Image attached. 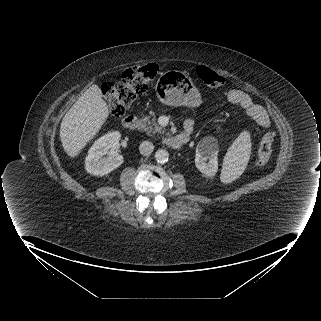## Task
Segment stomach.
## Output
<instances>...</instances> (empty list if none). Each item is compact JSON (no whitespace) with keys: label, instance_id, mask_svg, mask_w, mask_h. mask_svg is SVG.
Instances as JSON below:
<instances>
[{"label":"stomach","instance_id":"0dacf381","mask_svg":"<svg viewBox=\"0 0 321 321\" xmlns=\"http://www.w3.org/2000/svg\"><path fill=\"white\" fill-rule=\"evenodd\" d=\"M155 92L158 100L169 106L199 107L201 95L184 72L169 70L157 80Z\"/></svg>","mask_w":321,"mask_h":321}]
</instances>
